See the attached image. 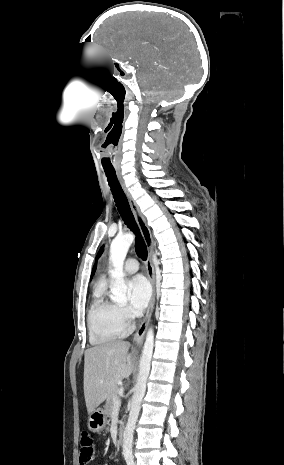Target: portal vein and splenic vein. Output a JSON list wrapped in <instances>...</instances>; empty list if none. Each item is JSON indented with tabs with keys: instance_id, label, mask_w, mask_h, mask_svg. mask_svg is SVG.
I'll use <instances>...</instances> for the list:
<instances>
[{
	"instance_id": "portal-vein-and-splenic-vein-1",
	"label": "portal vein and splenic vein",
	"mask_w": 284,
	"mask_h": 465,
	"mask_svg": "<svg viewBox=\"0 0 284 465\" xmlns=\"http://www.w3.org/2000/svg\"><path fill=\"white\" fill-rule=\"evenodd\" d=\"M120 405H121V399H119V397H117L116 395V397H114L113 399V407H120Z\"/></svg>"
}]
</instances>
